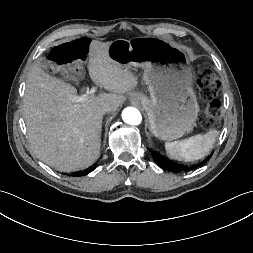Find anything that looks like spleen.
I'll return each mask as SVG.
<instances>
[{
    "label": "spleen",
    "instance_id": "obj_1",
    "mask_svg": "<svg viewBox=\"0 0 253 253\" xmlns=\"http://www.w3.org/2000/svg\"><path fill=\"white\" fill-rule=\"evenodd\" d=\"M218 132L214 129L206 134H198L188 139L175 142H166L167 155L179 161H196L206 157L213 148Z\"/></svg>",
    "mask_w": 253,
    "mask_h": 253
}]
</instances>
